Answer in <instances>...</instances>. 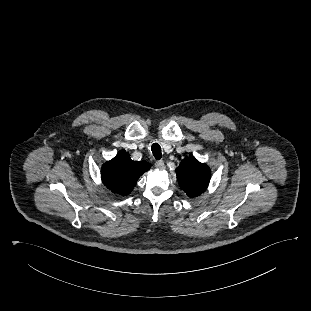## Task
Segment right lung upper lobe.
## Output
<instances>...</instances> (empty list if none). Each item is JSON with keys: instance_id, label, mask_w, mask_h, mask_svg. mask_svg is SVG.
<instances>
[{"instance_id": "obj_1", "label": "right lung upper lobe", "mask_w": 311, "mask_h": 311, "mask_svg": "<svg viewBox=\"0 0 311 311\" xmlns=\"http://www.w3.org/2000/svg\"><path fill=\"white\" fill-rule=\"evenodd\" d=\"M151 167L147 161H133L125 150L107 161L101 169L103 184L111 191L126 196L131 193L139 177Z\"/></svg>"}]
</instances>
